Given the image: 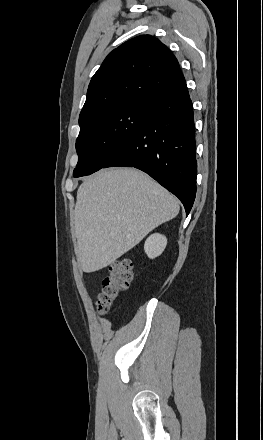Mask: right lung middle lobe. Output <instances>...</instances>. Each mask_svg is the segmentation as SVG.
<instances>
[{"label": "right lung middle lobe", "mask_w": 263, "mask_h": 440, "mask_svg": "<svg viewBox=\"0 0 263 440\" xmlns=\"http://www.w3.org/2000/svg\"><path fill=\"white\" fill-rule=\"evenodd\" d=\"M149 110V103L132 102L109 108L79 123L76 140L79 158L73 176L89 175L103 168L111 153L137 131Z\"/></svg>", "instance_id": "1"}]
</instances>
